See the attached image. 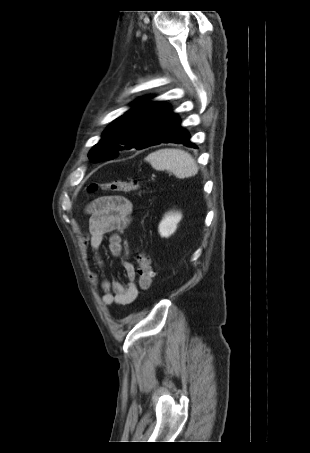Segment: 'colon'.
I'll use <instances>...</instances> for the list:
<instances>
[{
    "label": "colon",
    "mask_w": 310,
    "mask_h": 453,
    "mask_svg": "<svg viewBox=\"0 0 310 453\" xmlns=\"http://www.w3.org/2000/svg\"><path fill=\"white\" fill-rule=\"evenodd\" d=\"M140 187L137 179L129 180H116L105 183H92L88 190L91 193L101 191L109 192H131ZM137 273H138V286L142 291H147L153 280V273L151 267V260L144 250L140 251L137 256Z\"/></svg>",
    "instance_id": "5ec220e1"
}]
</instances>
